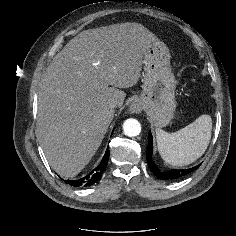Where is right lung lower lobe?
Returning <instances> with one entry per match:
<instances>
[{"instance_id": "1", "label": "right lung lower lobe", "mask_w": 236, "mask_h": 236, "mask_svg": "<svg viewBox=\"0 0 236 236\" xmlns=\"http://www.w3.org/2000/svg\"><path fill=\"white\" fill-rule=\"evenodd\" d=\"M108 158H109V147L107 148L100 165L97 168H95L91 173H89L88 175H86L81 179L65 180V182L74 187H85L94 184L100 179L102 173L104 172L108 163Z\"/></svg>"}]
</instances>
